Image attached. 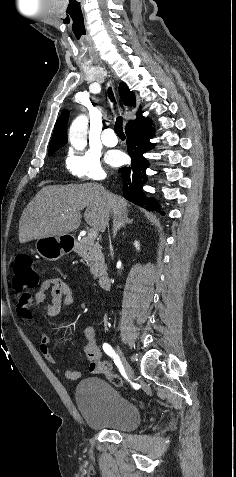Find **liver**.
<instances>
[{
	"label": "liver",
	"instance_id": "6515ba94",
	"mask_svg": "<svg viewBox=\"0 0 236 477\" xmlns=\"http://www.w3.org/2000/svg\"><path fill=\"white\" fill-rule=\"evenodd\" d=\"M128 202L94 184L49 185L43 187L23 210L19 241L65 236L79 228L81 211L87 224L104 231L105 209L115 217L127 211Z\"/></svg>",
	"mask_w": 236,
	"mask_h": 477
}]
</instances>
